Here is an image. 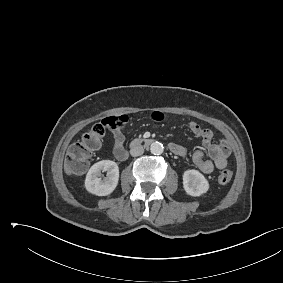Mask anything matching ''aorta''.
I'll use <instances>...</instances> for the list:
<instances>
[{
  "label": "aorta",
  "mask_w": 283,
  "mask_h": 283,
  "mask_svg": "<svg viewBox=\"0 0 283 283\" xmlns=\"http://www.w3.org/2000/svg\"><path fill=\"white\" fill-rule=\"evenodd\" d=\"M164 147L160 142H153L150 146V151L154 155H160L163 153Z\"/></svg>",
  "instance_id": "1"
}]
</instances>
